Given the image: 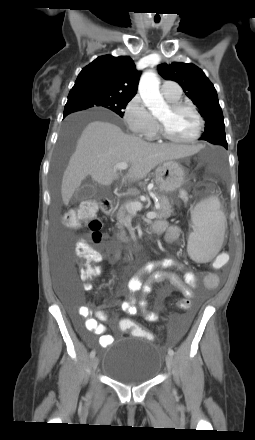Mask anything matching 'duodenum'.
<instances>
[{"label":"duodenum","mask_w":255,"mask_h":440,"mask_svg":"<svg viewBox=\"0 0 255 440\" xmlns=\"http://www.w3.org/2000/svg\"><path fill=\"white\" fill-rule=\"evenodd\" d=\"M101 209H102V211H103L105 214L110 215V214H112L113 211H114V204H113V202L110 201V200H103V201L101 202ZM160 231H161V230H160L158 227H156V226H154V227L151 229V232L154 233V234H157V233H159Z\"/></svg>","instance_id":"1"}]
</instances>
